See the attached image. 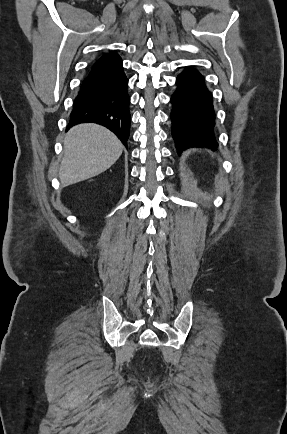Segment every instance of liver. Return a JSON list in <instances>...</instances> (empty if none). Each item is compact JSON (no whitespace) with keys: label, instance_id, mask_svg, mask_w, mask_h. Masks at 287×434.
<instances>
[{"label":"liver","instance_id":"6515ba94","mask_svg":"<svg viewBox=\"0 0 287 434\" xmlns=\"http://www.w3.org/2000/svg\"><path fill=\"white\" fill-rule=\"evenodd\" d=\"M122 151L120 140L100 125L84 123L71 128L64 139V156L59 169L62 186L103 173L119 159Z\"/></svg>","mask_w":287,"mask_h":434}]
</instances>
